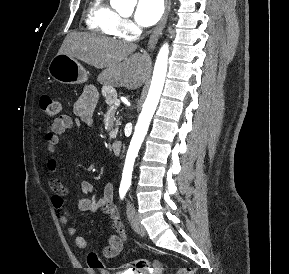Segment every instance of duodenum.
I'll use <instances>...</instances> for the list:
<instances>
[{
  "mask_svg": "<svg viewBox=\"0 0 289 274\" xmlns=\"http://www.w3.org/2000/svg\"><path fill=\"white\" fill-rule=\"evenodd\" d=\"M112 149H113L114 153L119 154L121 152V149H122V142L119 140L113 141Z\"/></svg>",
  "mask_w": 289,
  "mask_h": 274,
  "instance_id": "duodenum-1",
  "label": "duodenum"
}]
</instances>
